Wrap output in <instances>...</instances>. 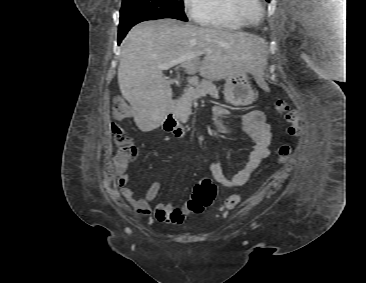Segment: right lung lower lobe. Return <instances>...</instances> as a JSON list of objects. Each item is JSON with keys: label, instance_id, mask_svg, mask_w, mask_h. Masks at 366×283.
I'll list each match as a JSON object with an SVG mask.
<instances>
[{"label": "right lung lower lobe", "instance_id": "98d812e1", "mask_svg": "<svg viewBox=\"0 0 366 283\" xmlns=\"http://www.w3.org/2000/svg\"><path fill=\"white\" fill-rule=\"evenodd\" d=\"M143 20H133V21H126L119 24V33H118V44L122 41V39L125 37L127 32L130 30L132 26L135 24L142 22Z\"/></svg>", "mask_w": 366, "mask_h": 283}]
</instances>
